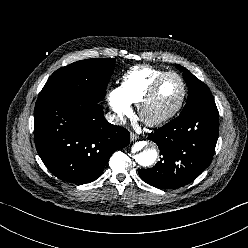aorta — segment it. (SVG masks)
<instances>
[{
  "mask_svg": "<svg viewBox=\"0 0 248 248\" xmlns=\"http://www.w3.org/2000/svg\"><path fill=\"white\" fill-rule=\"evenodd\" d=\"M148 143L140 141L134 144L133 152L135 153L134 159L141 166H151L157 159L158 153L154 148H146ZM145 148V149H144Z\"/></svg>",
  "mask_w": 248,
  "mask_h": 248,
  "instance_id": "1",
  "label": "aorta"
}]
</instances>
